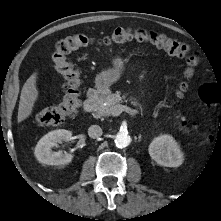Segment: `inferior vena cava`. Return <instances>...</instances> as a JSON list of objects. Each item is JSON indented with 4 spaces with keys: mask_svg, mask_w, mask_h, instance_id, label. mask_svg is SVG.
<instances>
[{
    "mask_svg": "<svg viewBox=\"0 0 221 221\" xmlns=\"http://www.w3.org/2000/svg\"><path fill=\"white\" fill-rule=\"evenodd\" d=\"M102 133V129L99 125H91L88 129V135L91 138H98Z\"/></svg>",
    "mask_w": 221,
    "mask_h": 221,
    "instance_id": "obj_1",
    "label": "inferior vena cava"
}]
</instances>
